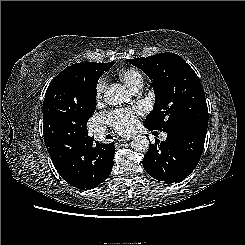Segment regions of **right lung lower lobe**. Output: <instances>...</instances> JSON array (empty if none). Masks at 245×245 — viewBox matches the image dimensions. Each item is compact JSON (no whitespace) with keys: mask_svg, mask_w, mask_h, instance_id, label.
I'll return each instance as SVG.
<instances>
[{"mask_svg":"<svg viewBox=\"0 0 245 245\" xmlns=\"http://www.w3.org/2000/svg\"><path fill=\"white\" fill-rule=\"evenodd\" d=\"M93 141L88 135L45 141L57 172L78 189L90 190L97 187L108 178L114 164V143Z\"/></svg>","mask_w":245,"mask_h":245,"instance_id":"98d812e1","label":"right lung lower lobe"}]
</instances>
